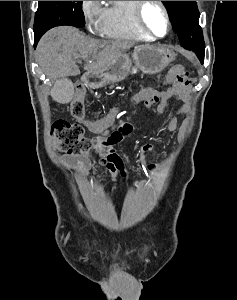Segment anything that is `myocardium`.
Listing matches in <instances>:
<instances>
[{
    "label": "myocardium",
    "mask_w": 237,
    "mask_h": 300,
    "mask_svg": "<svg viewBox=\"0 0 237 300\" xmlns=\"http://www.w3.org/2000/svg\"><path fill=\"white\" fill-rule=\"evenodd\" d=\"M151 2L158 4L164 14V18H165V22H166V31L163 35H157L156 33H154L145 21V10H146L147 6L149 5V3H151ZM136 17H137V21H138L139 25L141 26V28L149 36H152L156 39L165 38L171 31V18H170L168 7L164 3V1H138L137 7H136Z\"/></svg>",
    "instance_id": "obj_1"
}]
</instances>
